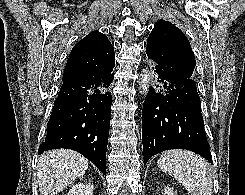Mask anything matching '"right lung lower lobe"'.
<instances>
[{
    "instance_id": "obj_1",
    "label": "right lung lower lobe",
    "mask_w": 245,
    "mask_h": 195,
    "mask_svg": "<svg viewBox=\"0 0 245 195\" xmlns=\"http://www.w3.org/2000/svg\"><path fill=\"white\" fill-rule=\"evenodd\" d=\"M112 71H96L92 77L63 81L38 154L57 148L73 149L105 174Z\"/></svg>"
}]
</instances>
